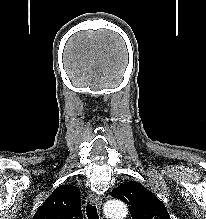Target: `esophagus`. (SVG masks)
<instances>
[{
	"mask_svg": "<svg viewBox=\"0 0 206 219\" xmlns=\"http://www.w3.org/2000/svg\"><path fill=\"white\" fill-rule=\"evenodd\" d=\"M89 200L92 204H95L96 206H98L99 208H101L102 205V198L96 194V193H92L89 196Z\"/></svg>",
	"mask_w": 206,
	"mask_h": 219,
	"instance_id": "34e87169",
	"label": "esophagus"
}]
</instances>
